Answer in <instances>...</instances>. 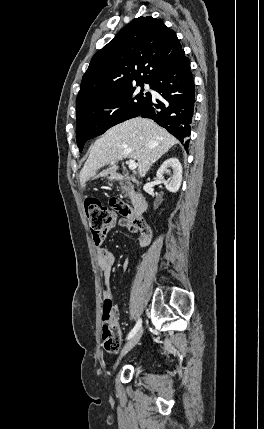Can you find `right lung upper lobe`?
I'll list each match as a JSON object with an SVG mask.
<instances>
[{"instance_id":"cb5924a9","label":"right lung upper lobe","mask_w":264,"mask_h":429,"mask_svg":"<svg viewBox=\"0 0 264 429\" xmlns=\"http://www.w3.org/2000/svg\"><path fill=\"white\" fill-rule=\"evenodd\" d=\"M182 51L175 32L161 20L151 16L134 19L93 56L76 107L135 82L151 83Z\"/></svg>"}]
</instances>
